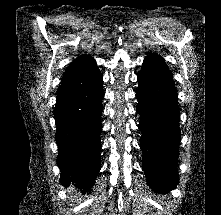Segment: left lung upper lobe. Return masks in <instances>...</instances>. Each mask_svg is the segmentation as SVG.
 Masks as SVG:
<instances>
[{
  "label": "left lung upper lobe",
  "instance_id": "left-lung-upper-lobe-1",
  "mask_svg": "<svg viewBox=\"0 0 221 215\" xmlns=\"http://www.w3.org/2000/svg\"><path fill=\"white\" fill-rule=\"evenodd\" d=\"M148 56H150V57H160V56H158V55H156V54H150V55H148Z\"/></svg>",
  "mask_w": 221,
  "mask_h": 215
}]
</instances>
